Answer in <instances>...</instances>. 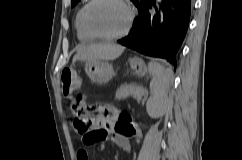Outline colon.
<instances>
[{
	"label": "colon",
	"instance_id": "obj_1",
	"mask_svg": "<svg viewBox=\"0 0 242 160\" xmlns=\"http://www.w3.org/2000/svg\"><path fill=\"white\" fill-rule=\"evenodd\" d=\"M62 93L65 97H72L80 88L81 81L71 68H65L61 73ZM75 109L79 115L74 125L76 130L83 134L85 144H93L106 136V131L94 129L92 121L98 118V113L91 106L82 105L77 98L75 101ZM114 128L125 134L135 131L131 117L126 113H121L115 121Z\"/></svg>",
	"mask_w": 242,
	"mask_h": 160
}]
</instances>
